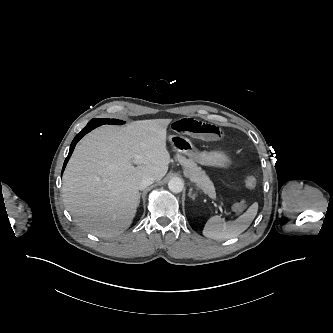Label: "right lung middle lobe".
<instances>
[{
  "mask_svg": "<svg viewBox=\"0 0 333 333\" xmlns=\"http://www.w3.org/2000/svg\"><path fill=\"white\" fill-rule=\"evenodd\" d=\"M101 121V124H123V121L117 119H97Z\"/></svg>",
  "mask_w": 333,
  "mask_h": 333,
  "instance_id": "1",
  "label": "right lung middle lobe"
}]
</instances>
